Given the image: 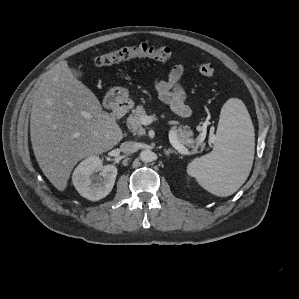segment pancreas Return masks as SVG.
I'll list each match as a JSON object with an SVG mask.
<instances>
[{
    "label": "pancreas",
    "instance_id": "cf45deb5",
    "mask_svg": "<svg viewBox=\"0 0 299 299\" xmlns=\"http://www.w3.org/2000/svg\"><path fill=\"white\" fill-rule=\"evenodd\" d=\"M146 115V111L142 105H138L132 114L127 118V127L134 135L145 134V129L142 127L141 117ZM177 140L183 146H187L192 149V153H196L199 150L204 149L203 134H200L196 139H193V131L188 126H174L173 127Z\"/></svg>",
    "mask_w": 299,
    "mask_h": 299
}]
</instances>
